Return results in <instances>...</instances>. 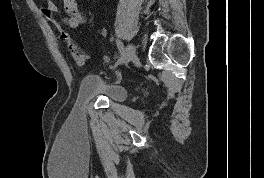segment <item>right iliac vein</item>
I'll return each instance as SVG.
<instances>
[{
  "mask_svg": "<svg viewBox=\"0 0 264 178\" xmlns=\"http://www.w3.org/2000/svg\"><path fill=\"white\" fill-rule=\"evenodd\" d=\"M133 53H134V47L132 44H129L124 50L123 54L121 55L118 64L120 65L126 64Z\"/></svg>",
  "mask_w": 264,
  "mask_h": 178,
  "instance_id": "right-iliac-vein-1",
  "label": "right iliac vein"
}]
</instances>
